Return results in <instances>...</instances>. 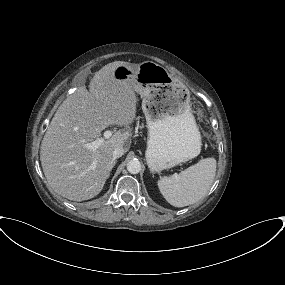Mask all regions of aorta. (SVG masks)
<instances>
[{"label": "aorta", "instance_id": "762f6f07", "mask_svg": "<svg viewBox=\"0 0 285 285\" xmlns=\"http://www.w3.org/2000/svg\"><path fill=\"white\" fill-rule=\"evenodd\" d=\"M127 170L131 174H138L141 171V163L137 159H132L127 163Z\"/></svg>", "mask_w": 285, "mask_h": 285}]
</instances>
